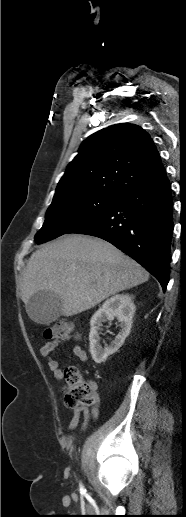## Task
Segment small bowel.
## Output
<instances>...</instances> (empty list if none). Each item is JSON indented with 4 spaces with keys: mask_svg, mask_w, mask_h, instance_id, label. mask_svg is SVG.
Listing matches in <instances>:
<instances>
[{
    "mask_svg": "<svg viewBox=\"0 0 186 517\" xmlns=\"http://www.w3.org/2000/svg\"><path fill=\"white\" fill-rule=\"evenodd\" d=\"M62 343V340H53L45 343L40 348V355L47 360L48 366L53 373V375L61 380L63 377V371L59 364V362L54 359L53 352L59 347ZM73 354L78 358V360L82 363H85L88 359L87 353L81 348L80 345L75 344L72 348ZM95 384V383H94ZM96 388V385H95ZM81 416H83L82 429H85L91 420H94L98 416V407L95 404L91 408L80 407L74 410L73 416L69 422L68 429L73 431L79 425Z\"/></svg>",
    "mask_w": 186,
    "mask_h": 517,
    "instance_id": "c3829d8e",
    "label": "small bowel"
}]
</instances>
